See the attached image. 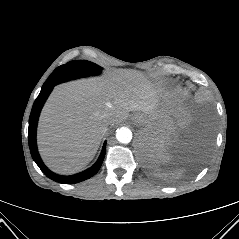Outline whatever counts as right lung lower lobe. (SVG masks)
<instances>
[{"label":"right lung lower lobe","instance_id":"98d812e1","mask_svg":"<svg viewBox=\"0 0 239 239\" xmlns=\"http://www.w3.org/2000/svg\"><path fill=\"white\" fill-rule=\"evenodd\" d=\"M53 87L47 88V89H41L38 97L36 98L30 118H29V129H28V141H29V147H30V152L31 155L38 165V167L41 169V171L50 179L59 182V183H64V184H74V183H79L81 181H84L86 179L91 178L94 176L98 170L100 169L104 156H105V151H106V141L103 144V148L101 151V154L97 160V162L90 167L89 169L77 173L75 175H70V176H63V175H58L50 171L42 162L38 150H37V145H36V129H37V123H38V118L40 115V111L48 98L49 94L51 93Z\"/></svg>","mask_w":239,"mask_h":239}]
</instances>
